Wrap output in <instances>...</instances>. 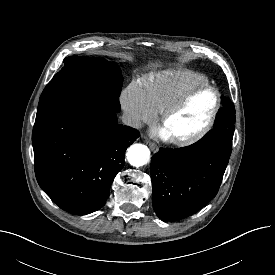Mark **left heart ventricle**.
I'll use <instances>...</instances> for the list:
<instances>
[{"mask_svg": "<svg viewBox=\"0 0 275 275\" xmlns=\"http://www.w3.org/2000/svg\"><path fill=\"white\" fill-rule=\"evenodd\" d=\"M216 103V95L205 90L194 95L163 126L169 137H183L199 130L208 120Z\"/></svg>", "mask_w": 275, "mask_h": 275, "instance_id": "left-heart-ventricle-1", "label": "left heart ventricle"}]
</instances>
